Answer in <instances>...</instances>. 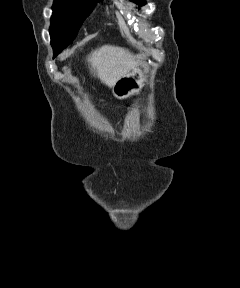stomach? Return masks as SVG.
I'll return each instance as SVG.
<instances>
[{"label":"stomach","instance_id":"0dacf381","mask_svg":"<svg viewBox=\"0 0 240 288\" xmlns=\"http://www.w3.org/2000/svg\"><path fill=\"white\" fill-rule=\"evenodd\" d=\"M145 77L141 67L136 66L131 73L120 77L113 86L112 93L118 99H126L138 94L144 87Z\"/></svg>","mask_w":240,"mask_h":288}]
</instances>
